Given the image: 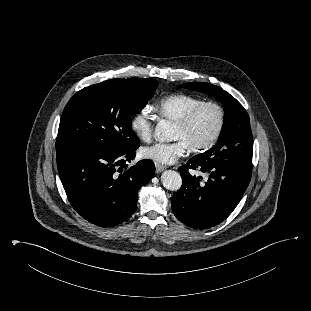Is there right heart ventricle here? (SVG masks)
Listing matches in <instances>:
<instances>
[{"mask_svg": "<svg viewBox=\"0 0 311 311\" xmlns=\"http://www.w3.org/2000/svg\"><path fill=\"white\" fill-rule=\"evenodd\" d=\"M202 102L201 98L178 93L160 99L155 108L163 118L176 123Z\"/></svg>", "mask_w": 311, "mask_h": 311, "instance_id": "obj_1", "label": "right heart ventricle"}]
</instances>
